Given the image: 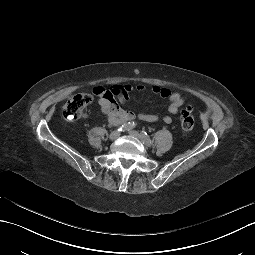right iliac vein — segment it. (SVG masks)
<instances>
[{"instance_id":"obj_1","label":"right iliac vein","mask_w":255,"mask_h":255,"mask_svg":"<svg viewBox=\"0 0 255 255\" xmlns=\"http://www.w3.org/2000/svg\"><path fill=\"white\" fill-rule=\"evenodd\" d=\"M119 136H120V132L119 131H113L110 134L109 139L113 141V140H116Z\"/></svg>"}]
</instances>
